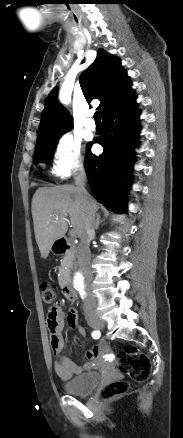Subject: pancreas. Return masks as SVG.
Listing matches in <instances>:
<instances>
[{
    "mask_svg": "<svg viewBox=\"0 0 183 438\" xmlns=\"http://www.w3.org/2000/svg\"><path fill=\"white\" fill-rule=\"evenodd\" d=\"M74 259H75L74 251L68 252L64 256V258L62 259L61 267H60V270H59V273H60L59 278H58L59 279V283H62V281H63V274L65 273L64 268L65 267H70L72 265Z\"/></svg>",
    "mask_w": 183,
    "mask_h": 438,
    "instance_id": "pancreas-1",
    "label": "pancreas"
}]
</instances>
